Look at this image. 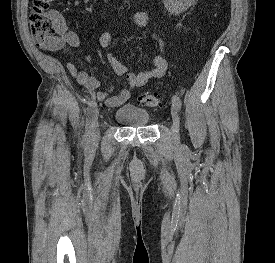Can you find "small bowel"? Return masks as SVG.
Returning <instances> with one entry per match:
<instances>
[{
    "mask_svg": "<svg viewBox=\"0 0 275 263\" xmlns=\"http://www.w3.org/2000/svg\"><path fill=\"white\" fill-rule=\"evenodd\" d=\"M52 17L57 25L58 35L51 41L42 44L46 50L66 51L76 48L80 44L79 37L76 33L69 31L62 17L58 13H53ZM130 20L138 27H147L150 22V15L142 11H134L130 14ZM112 36L109 32L102 33L98 38V43L102 48H107L111 44ZM108 61L113 72L118 77H123L128 83V88L122 89L118 94H112L114 86L105 91H97L101 82L99 79L91 76L84 70L78 69L73 63L66 62L65 65L72 77L85 89L91 96L105 103L110 108H116L126 103L132 94V91L145 85L148 81L161 78L167 70V60L160 55L154 56L148 63L146 69L135 74L112 53L107 54ZM89 60V58H88Z\"/></svg>",
    "mask_w": 275,
    "mask_h": 263,
    "instance_id": "obj_1",
    "label": "small bowel"
}]
</instances>
